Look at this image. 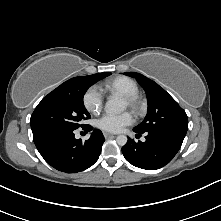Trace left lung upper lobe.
<instances>
[{"mask_svg": "<svg viewBox=\"0 0 221 221\" xmlns=\"http://www.w3.org/2000/svg\"><path fill=\"white\" fill-rule=\"evenodd\" d=\"M124 74L135 77L147 94V115L134 131L140 134L156 131H177L186 134L188 118L185 111L162 87L142 74Z\"/></svg>", "mask_w": 221, "mask_h": 221, "instance_id": "1", "label": "left lung upper lobe"}]
</instances>
